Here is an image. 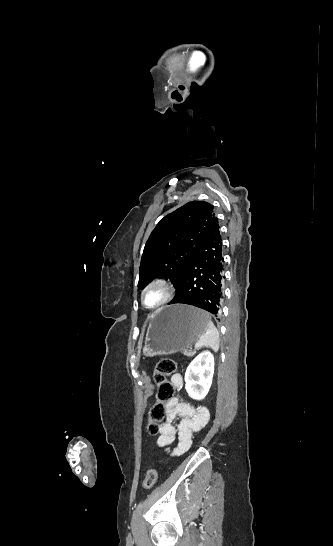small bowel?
<instances>
[{
	"mask_svg": "<svg viewBox=\"0 0 333 546\" xmlns=\"http://www.w3.org/2000/svg\"><path fill=\"white\" fill-rule=\"evenodd\" d=\"M171 383L178 390L184 387V378L180 373L171 376ZM181 418L177 427L173 422ZM210 419V412L204 406L194 407L181 402L178 398L171 399L166 404V418L160 424L156 444L165 449L171 456H177L189 449L193 435L201 431ZM178 439V444L171 447Z\"/></svg>",
	"mask_w": 333,
	"mask_h": 546,
	"instance_id": "small-bowel-1",
	"label": "small bowel"
}]
</instances>
